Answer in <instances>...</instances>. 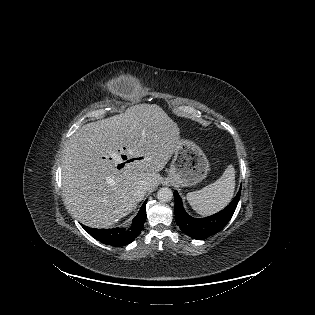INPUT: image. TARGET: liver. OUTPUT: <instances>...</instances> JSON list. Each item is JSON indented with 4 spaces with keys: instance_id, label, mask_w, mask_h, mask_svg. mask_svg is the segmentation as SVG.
Listing matches in <instances>:
<instances>
[{
    "instance_id": "obj_1",
    "label": "liver",
    "mask_w": 315,
    "mask_h": 315,
    "mask_svg": "<svg viewBox=\"0 0 315 315\" xmlns=\"http://www.w3.org/2000/svg\"><path fill=\"white\" fill-rule=\"evenodd\" d=\"M179 134L177 123L156 104L135 105L80 127L68 140L61 163L70 213L93 228L127 216L146 194H137L139 183L146 181L153 191L162 180L159 172L179 149ZM121 154L134 160L118 170Z\"/></svg>"
}]
</instances>
